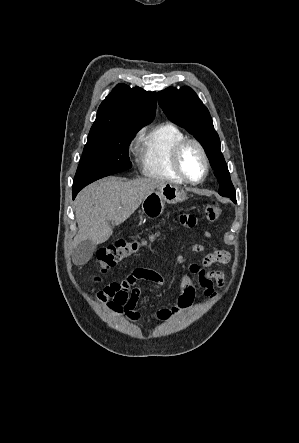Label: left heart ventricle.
Returning a JSON list of instances; mask_svg holds the SVG:
<instances>
[{
    "mask_svg": "<svg viewBox=\"0 0 299 443\" xmlns=\"http://www.w3.org/2000/svg\"><path fill=\"white\" fill-rule=\"evenodd\" d=\"M181 163L187 176L193 180L199 179L204 171V164L201 154L196 146L189 145L185 148Z\"/></svg>",
    "mask_w": 299,
    "mask_h": 443,
    "instance_id": "left-heart-ventricle-1",
    "label": "left heart ventricle"
}]
</instances>
